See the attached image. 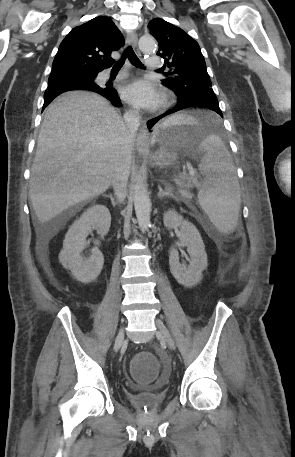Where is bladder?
I'll return each mask as SVG.
<instances>
[{
	"instance_id": "obj_1",
	"label": "bladder",
	"mask_w": 295,
	"mask_h": 457,
	"mask_svg": "<svg viewBox=\"0 0 295 457\" xmlns=\"http://www.w3.org/2000/svg\"><path fill=\"white\" fill-rule=\"evenodd\" d=\"M157 360L162 361L161 367H163V374H159L155 378V382L159 383H169L171 380V375L174 374V367L172 366L171 360H168V353L162 352L163 348L158 346L156 348ZM130 400L133 403L134 411H157L158 407L164 402L167 397L166 392L164 391H144L139 393L130 394Z\"/></svg>"
}]
</instances>
